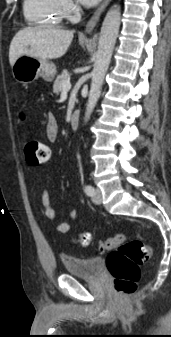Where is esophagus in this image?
Masks as SVG:
<instances>
[{
	"mask_svg": "<svg viewBox=\"0 0 171 337\" xmlns=\"http://www.w3.org/2000/svg\"><path fill=\"white\" fill-rule=\"evenodd\" d=\"M110 1L111 0H103V2L101 3V5L96 9V11L94 12L92 18L87 23V26H86V32L87 33H90V32L93 31V29L95 28L97 22L100 19V16H101L102 12L108 6V4L110 3Z\"/></svg>",
	"mask_w": 171,
	"mask_h": 337,
	"instance_id": "obj_1",
	"label": "esophagus"
}]
</instances>
